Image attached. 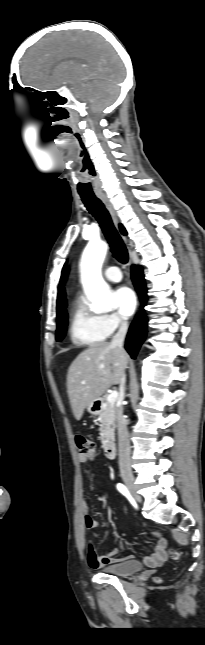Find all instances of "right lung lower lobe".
Masks as SVG:
<instances>
[{"label":"right lung lower lobe","mask_w":205,"mask_h":645,"mask_svg":"<svg viewBox=\"0 0 205 645\" xmlns=\"http://www.w3.org/2000/svg\"><path fill=\"white\" fill-rule=\"evenodd\" d=\"M131 269L132 280L141 299V311L130 326L125 346L128 353L134 359L146 337L147 332V318L143 309L147 301V289L142 268L140 266L133 265Z\"/></svg>","instance_id":"98d812e1"}]
</instances>
